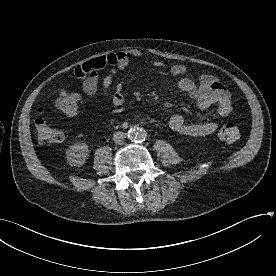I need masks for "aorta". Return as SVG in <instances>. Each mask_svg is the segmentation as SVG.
I'll return each instance as SVG.
<instances>
[{"instance_id":"aorta-1","label":"aorta","mask_w":276,"mask_h":276,"mask_svg":"<svg viewBox=\"0 0 276 276\" xmlns=\"http://www.w3.org/2000/svg\"><path fill=\"white\" fill-rule=\"evenodd\" d=\"M128 136L137 142H142L145 140L147 135L143 129L131 127L128 131Z\"/></svg>"}]
</instances>
